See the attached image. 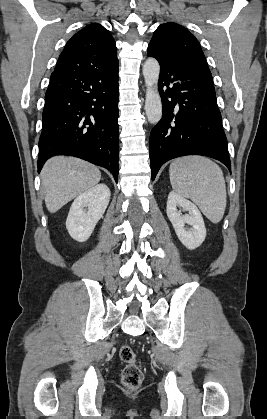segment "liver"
Here are the masks:
<instances>
[{
	"mask_svg": "<svg viewBox=\"0 0 267 419\" xmlns=\"http://www.w3.org/2000/svg\"><path fill=\"white\" fill-rule=\"evenodd\" d=\"M100 179V170L86 161L67 156L51 158L41 172L48 211L57 212L69 201L99 183Z\"/></svg>",
	"mask_w": 267,
	"mask_h": 419,
	"instance_id": "obj_1",
	"label": "liver"
}]
</instances>
